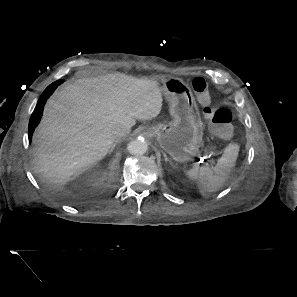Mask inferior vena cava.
I'll return each mask as SVG.
<instances>
[{"mask_svg":"<svg viewBox=\"0 0 297 297\" xmlns=\"http://www.w3.org/2000/svg\"><path fill=\"white\" fill-rule=\"evenodd\" d=\"M130 133V128L127 126H117L113 130V137L117 141Z\"/></svg>","mask_w":297,"mask_h":297,"instance_id":"inferior-vena-cava-1","label":"inferior vena cava"}]
</instances>
